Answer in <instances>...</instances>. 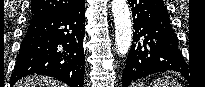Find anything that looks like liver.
<instances>
[{"label":"liver","mask_w":205,"mask_h":87,"mask_svg":"<svg viewBox=\"0 0 205 87\" xmlns=\"http://www.w3.org/2000/svg\"><path fill=\"white\" fill-rule=\"evenodd\" d=\"M15 87H65L64 84L43 76L25 77Z\"/></svg>","instance_id":"liver-1"}]
</instances>
